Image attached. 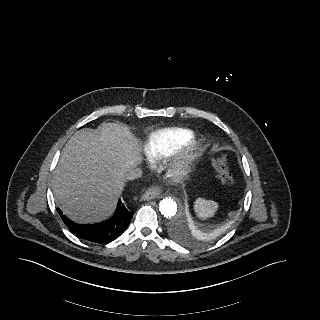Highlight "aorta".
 I'll return each mask as SVG.
<instances>
[{
  "instance_id": "762f6f07",
  "label": "aorta",
  "mask_w": 320,
  "mask_h": 320,
  "mask_svg": "<svg viewBox=\"0 0 320 320\" xmlns=\"http://www.w3.org/2000/svg\"><path fill=\"white\" fill-rule=\"evenodd\" d=\"M159 210L161 212V214L167 218H171L173 216L176 215L178 207H177V203L173 198H164L163 200L160 201L159 204ZM183 222L181 219H179L176 222V227L177 229H183Z\"/></svg>"
}]
</instances>
